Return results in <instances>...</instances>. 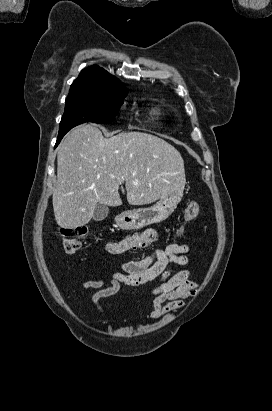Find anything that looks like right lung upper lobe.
<instances>
[{"instance_id":"cb5924a9","label":"right lung upper lobe","mask_w":272,"mask_h":411,"mask_svg":"<svg viewBox=\"0 0 272 411\" xmlns=\"http://www.w3.org/2000/svg\"><path fill=\"white\" fill-rule=\"evenodd\" d=\"M103 88L127 89L120 81L99 66L83 69L78 78L72 83L69 93L94 91Z\"/></svg>"}]
</instances>
